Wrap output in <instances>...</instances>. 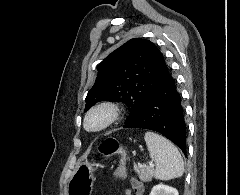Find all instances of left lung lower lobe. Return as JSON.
Instances as JSON below:
<instances>
[{
  "label": "left lung lower lobe",
  "instance_id": "1",
  "mask_svg": "<svg viewBox=\"0 0 240 195\" xmlns=\"http://www.w3.org/2000/svg\"><path fill=\"white\" fill-rule=\"evenodd\" d=\"M161 133L186 153V126L181 96L170 72L139 112L123 126Z\"/></svg>",
  "mask_w": 240,
  "mask_h": 195
}]
</instances>
